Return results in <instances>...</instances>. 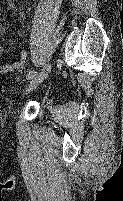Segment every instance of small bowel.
Instances as JSON below:
<instances>
[{
	"label": "small bowel",
	"mask_w": 123,
	"mask_h": 201,
	"mask_svg": "<svg viewBox=\"0 0 123 201\" xmlns=\"http://www.w3.org/2000/svg\"><path fill=\"white\" fill-rule=\"evenodd\" d=\"M4 46L0 44V57L4 53ZM28 59V53L26 51H21L19 54L18 62L6 65H0V74L8 73L11 71H20L24 68L25 63Z\"/></svg>",
	"instance_id": "small-bowel-1"
}]
</instances>
